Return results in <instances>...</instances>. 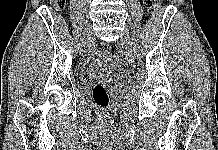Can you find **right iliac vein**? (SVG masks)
<instances>
[{
  "label": "right iliac vein",
  "mask_w": 218,
  "mask_h": 150,
  "mask_svg": "<svg viewBox=\"0 0 218 150\" xmlns=\"http://www.w3.org/2000/svg\"><path fill=\"white\" fill-rule=\"evenodd\" d=\"M91 36H92V31H91V28L89 27L83 33L82 42L83 43L88 42L91 39Z\"/></svg>",
  "instance_id": "1"
}]
</instances>
